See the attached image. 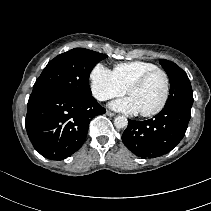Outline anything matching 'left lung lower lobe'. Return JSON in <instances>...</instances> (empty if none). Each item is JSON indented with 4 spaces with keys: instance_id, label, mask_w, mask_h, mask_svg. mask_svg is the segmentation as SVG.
I'll return each mask as SVG.
<instances>
[{
    "instance_id": "left-lung-lower-lobe-1",
    "label": "left lung lower lobe",
    "mask_w": 211,
    "mask_h": 211,
    "mask_svg": "<svg viewBox=\"0 0 211 211\" xmlns=\"http://www.w3.org/2000/svg\"><path fill=\"white\" fill-rule=\"evenodd\" d=\"M191 107L182 103L165 105L147 121L128 120L122 140L139 157H159L174 149L185 135Z\"/></svg>"
}]
</instances>
